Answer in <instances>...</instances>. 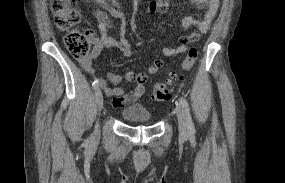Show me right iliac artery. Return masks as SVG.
I'll return each mask as SVG.
<instances>
[{
    "mask_svg": "<svg viewBox=\"0 0 285 183\" xmlns=\"http://www.w3.org/2000/svg\"><path fill=\"white\" fill-rule=\"evenodd\" d=\"M92 86H93L94 89L98 88V86H99L98 81L95 80V81L93 82Z\"/></svg>",
    "mask_w": 285,
    "mask_h": 183,
    "instance_id": "82829eb1",
    "label": "right iliac artery"
}]
</instances>
